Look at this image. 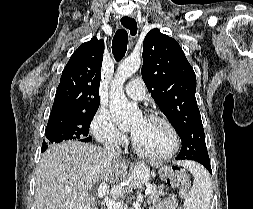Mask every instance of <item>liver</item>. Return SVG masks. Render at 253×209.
Listing matches in <instances>:
<instances>
[{
  "label": "liver",
  "mask_w": 253,
  "mask_h": 209,
  "mask_svg": "<svg viewBox=\"0 0 253 209\" xmlns=\"http://www.w3.org/2000/svg\"><path fill=\"white\" fill-rule=\"evenodd\" d=\"M150 178L149 170L139 164L131 172L125 161L110 159L101 148L78 141L50 146L42 155L35 180L37 209H97L89 194L101 183L112 197H120L124 187H141Z\"/></svg>",
  "instance_id": "liver-1"
}]
</instances>
